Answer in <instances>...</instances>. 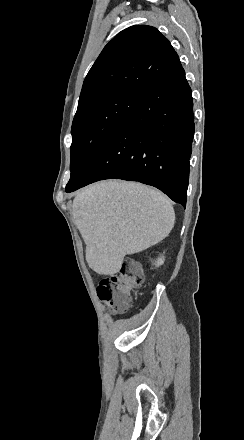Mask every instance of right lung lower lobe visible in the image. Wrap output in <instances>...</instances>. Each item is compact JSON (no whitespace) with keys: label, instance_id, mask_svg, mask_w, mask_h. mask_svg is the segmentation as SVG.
<instances>
[{"label":"right lung lower lobe","instance_id":"1","mask_svg":"<svg viewBox=\"0 0 244 440\" xmlns=\"http://www.w3.org/2000/svg\"><path fill=\"white\" fill-rule=\"evenodd\" d=\"M194 128L181 67L139 99L66 192L116 178L154 186L185 207Z\"/></svg>","mask_w":244,"mask_h":440}]
</instances>
